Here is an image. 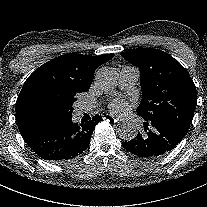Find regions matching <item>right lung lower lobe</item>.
<instances>
[{
	"mask_svg": "<svg viewBox=\"0 0 207 207\" xmlns=\"http://www.w3.org/2000/svg\"><path fill=\"white\" fill-rule=\"evenodd\" d=\"M102 117L95 115L85 123H73L72 116L60 119L22 135L42 159L62 163L80 156L88 147L93 130Z\"/></svg>",
	"mask_w": 207,
	"mask_h": 207,
	"instance_id": "obj_1",
	"label": "right lung lower lobe"
}]
</instances>
